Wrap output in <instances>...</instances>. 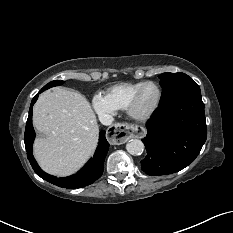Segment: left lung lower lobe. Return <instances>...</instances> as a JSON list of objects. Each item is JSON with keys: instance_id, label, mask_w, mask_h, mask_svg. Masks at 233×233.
Masks as SVG:
<instances>
[{"instance_id": "0a47b994", "label": "left lung lower lobe", "mask_w": 233, "mask_h": 233, "mask_svg": "<svg viewBox=\"0 0 233 233\" xmlns=\"http://www.w3.org/2000/svg\"><path fill=\"white\" fill-rule=\"evenodd\" d=\"M146 127L142 141L147 156L141 169L151 176L184 169L198 156L207 137L201 92L185 93L160 104Z\"/></svg>"}]
</instances>
